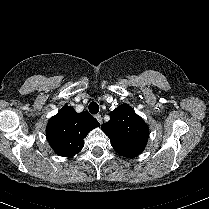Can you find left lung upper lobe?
<instances>
[{
  "mask_svg": "<svg viewBox=\"0 0 209 209\" xmlns=\"http://www.w3.org/2000/svg\"><path fill=\"white\" fill-rule=\"evenodd\" d=\"M110 117L101 129L110 138L115 151L127 158L139 155L149 136L144 120L128 104H121L110 113Z\"/></svg>",
  "mask_w": 209,
  "mask_h": 209,
  "instance_id": "1",
  "label": "left lung upper lobe"
}]
</instances>
